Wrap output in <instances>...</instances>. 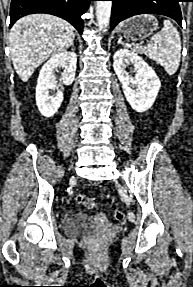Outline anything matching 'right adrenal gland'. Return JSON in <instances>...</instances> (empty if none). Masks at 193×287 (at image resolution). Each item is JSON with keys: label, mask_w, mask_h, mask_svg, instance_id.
I'll use <instances>...</instances> for the list:
<instances>
[{"label": "right adrenal gland", "mask_w": 193, "mask_h": 287, "mask_svg": "<svg viewBox=\"0 0 193 287\" xmlns=\"http://www.w3.org/2000/svg\"><path fill=\"white\" fill-rule=\"evenodd\" d=\"M72 50H75V48L72 46Z\"/></svg>", "instance_id": "obj_1"}]
</instances>
